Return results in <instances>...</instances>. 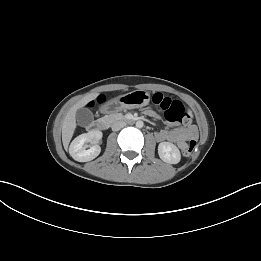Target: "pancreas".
<instances>
[{"instance_id": "pancreas-1", "label": "pancreas", "mask_w": 261, "mask_h": 261, "mask_svg": "<svg viewBox=\"0 0 261 261\" xmlns=\"http://www.w3.org/2000/svg\"><path fill=\"white\" fill-rule=\"evenodd\" d=\"M118 118H122V115H110V116H106L104 119L113 120V119H118Z\"/></svg>"}]
</instances>
